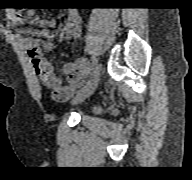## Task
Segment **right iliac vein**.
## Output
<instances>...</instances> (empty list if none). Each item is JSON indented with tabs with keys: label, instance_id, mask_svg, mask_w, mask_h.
Returning a JSON list of instances; mask_svg holds the SVG:
<instances>
[{
	"label": "right iliac vein",
	"instance_id": "right-iliac-vein-1",
	"mask_svg": "<svg viewBox=\"0 0 192 180\" xmlns=\"http://www.w3.org/2000/svg\"><path fill=\"white\" fill-rule=\"evenodd\" d=\"M99 81V70L92 75L91 79L87 82V84L77 93L76 97L73 100V103H80L84 101L86 98L91 96L97 88Z\"/></svg>",
	"mask_w": 192,
	"mask_h": 180
}]
</instances>
